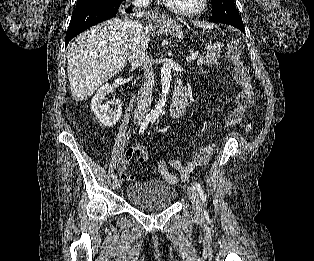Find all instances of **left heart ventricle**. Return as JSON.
Listing matches in <instances>:
<instances>
[{"instance_id": "obj_1", "label": "left heart ventricle", "mask_w": 314, "mask_h": 261, "mask_svg": "<svg viewBox=\"0 0 314 261\" xmlns=\"http://www.w3.org/2000/svg\"><path fill=\"white\" fill-rule=\"evenodd\" d=\"M169 1L181 8H194L200 2V0H169Z\"/></svg>"}]
</instances>
